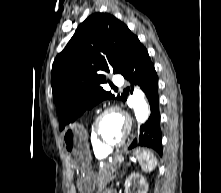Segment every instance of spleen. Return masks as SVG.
Listing matches in <instances>:
<instances>
[{
	"label": "spleen",
	"instance_id": "spleen-1",
	"mask_svg": "<svg viewBox=\"0 0 221 193\" xmlns=\"http://www.w3.org/2000/svg\"><path fill=\"white\" fill-rule=\"evenodd\" d=\"M134 155L138 159L144 172H152L157 166V159L150 150H136Z\"/></svg>",
	"mask_w": 221,
	"mask_h": 193
}]
</instances>
